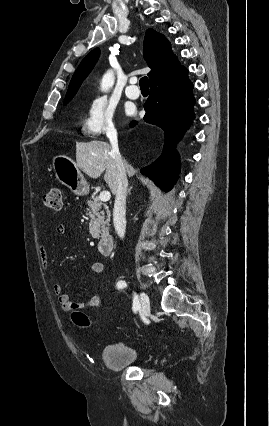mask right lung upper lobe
<instances>
[{
	"instance_id": "right-lung-upper-lobe-1",
	"label": "right lung upper lobe",
	"mask_w": 269,
	"mask_h": 426,
	"mask_svg": "<svg viewBox=\"0 0 269 426\" xmlns=\"http://www.w3.org/2000/svg\"><path fill=\"white\" fill-rule=\"evenodd\" d=\"M100 55V49L92 50L80 63L68 87L66 98H73L83 80L93 69ZM144 59L151 71L148 73L149 82L169 75L181 65L171 50L170 42L160 33L149 28L144 39Z\"/></svg>"
}]
</instances>
